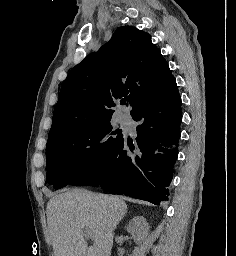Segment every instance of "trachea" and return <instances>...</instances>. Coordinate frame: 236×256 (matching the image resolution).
I'll list each match as a JSON object with an SVG mask.
<instances>
[{"label":"trachea","mask_w":236,"mask_h":256,"mask_svg":"<svg viewBox=\"0 0 236 256\" xmlns=\"http://www.w3.org/2000/svg\"><path fill=\"white\" fill-rule=\"evenodd\" d=\"M125 103H126V101H125V100H124V101H121V104H122V105H125Z\"/></svg>","instance_id":"1"}]
</instances>
